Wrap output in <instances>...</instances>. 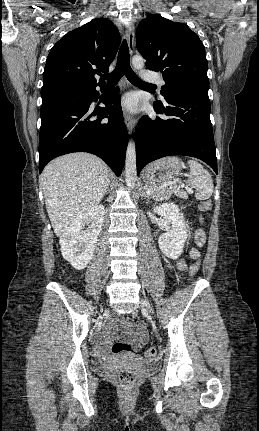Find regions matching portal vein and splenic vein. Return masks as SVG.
<instances>
[{
	"label": "portal vein and splenic vein",
	"instance_id": "18ae733b",
	"mask_svg": "<svg viewBox=\"0 0 259 431\" xmlns=\"http://www.w3.org/2000/svg\"><path fill=\"white\" fill-rule=\"evenodd\" d=\"M174 182H169V183H164L163 185L160 186L161 189L166 188L168 185L173 184ZM146 191L148 194H151L154 190L150 189V188H146ZM188 192L192 193V190H188Z\"/></svg>",
	"mask_w": 259,
	"mask_h": 431
}]
</instances>
